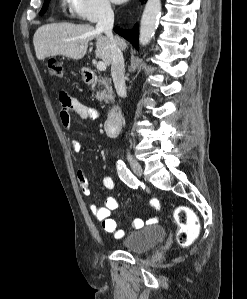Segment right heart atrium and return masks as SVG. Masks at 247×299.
I'll list each match as a JSON object with an SVG mask.
<instances>
[{"instance_id":"d8ad5b80","label":"right heart atrium","mask_w":247,"mask_h":299,"mask_svg":"<svg viewBox=\"0 0 247 299\" xmlns=\"http://www.w3.org/2000/svg\"><path fill=\"white\" fill-rule=\"evenodd\" d=\"M72 15L79 20L95 23L112 16L111 0H70Z\"/></svg>"}]
</instances>
